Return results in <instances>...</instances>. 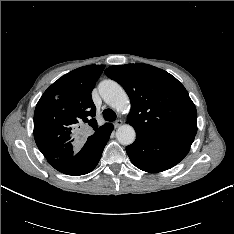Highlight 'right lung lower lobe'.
Instances as JSON below:
<instances>
[{"label":"right lung lower lobe","mask_w":234,"mask_h":234,"mask_svg":"<svg viewBox=\"0 0 234 234\" xmlns=\"http://www.w3.org/2000/svg\"><path fill=\"white\" fill-rule=\"evenodd\" d=\"M113 125L96 131L74 156L66 159H47L56 170L67 175H84L98 164L103 149L109 140Z\"/></svg>","instance_id":"right-lung-lower-lobe-1"}]
</instances>
